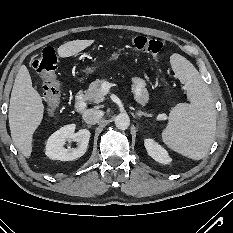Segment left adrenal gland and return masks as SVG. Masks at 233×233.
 Segmentation results:
<instances>
[{"label": "left adrenal gland", "mask_w": 233, "mask_h": 233, "mask_svg": "<svg viewBox=\"0 0 233 233\" xmlns=\"http://www.w3.org/2000/svg\"><path fill=\"white\" fill-rule=\"evenodd\" d=\"M136 115L139 116V117H141V116L151 117L150 114H147L146 112H143V111H141V110L136 111Z\"/></svg>", "instance_id": "obj_1"}]
</instances>
